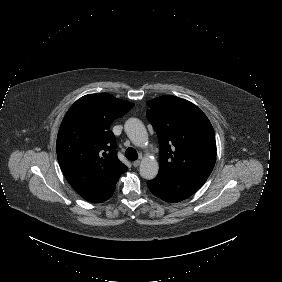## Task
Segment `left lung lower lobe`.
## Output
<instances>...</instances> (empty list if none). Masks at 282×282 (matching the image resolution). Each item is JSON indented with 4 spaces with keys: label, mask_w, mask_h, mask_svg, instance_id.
<instances>
[{
    "label": "left lung lower lobe",
    "mask_w": 282,
    "mask_h": 282,
    "mask_svg": "<svg viewBox=\"0 0 282 282\" xmlns=\"http://www.w3.org/2000/svg\"><path fill=\"white\" fill-rule=\"evenodd\" d=\"M200 174L160 172L155 179L148 181L150 191L166 202H179L193 195L207 180Z\"/></svg>",
    "instance_id": "left-lung-lower-lobe-1"
}]
</instances>
